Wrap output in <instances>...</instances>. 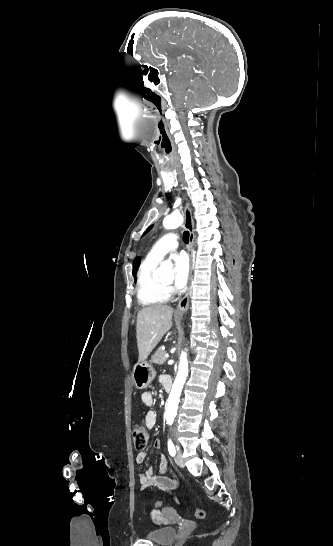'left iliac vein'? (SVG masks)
<instances>
[{
    "label": "left iliac vein",
    "mask_w": 333,
    "mask_h": 546,
    "mask_svg": "<svg viewBox=\"0 0 333 546\" xmlns=\"http://www.w3.org/2000/svg\"><path fill=\"white\" fill-rule=\"evenodd\" d=\"M175 462L179 467H181V468L184 467V460H183V457H182V452H181V450L179 448L177 449V452H176Z\"/></svg>",
    "instance_id": "left-iliac-vein-1"
}]
</instances>
